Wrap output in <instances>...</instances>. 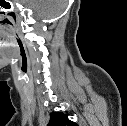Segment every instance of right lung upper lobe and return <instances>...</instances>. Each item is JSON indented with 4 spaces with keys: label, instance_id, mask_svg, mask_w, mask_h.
I'll use <instances>...</instances> for the list:
<instances>
[{
    "label": "right lung upper lobe",
    "instance_id": "obj_1",
    "mask_svg": "<svg viewBox=\"0 0 127 126\" xmlns=\"http://www.w3.org/2000/svg\"><path fill=\"white\" fill-rule=\"evenodd\" d=\"M47 126H77V124L70 121L67 114L53 112L50 114V121Z\"/></svg>",
    "mask_w": 127,
    "mask_h": 126
}]
</instances>
